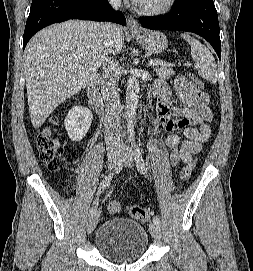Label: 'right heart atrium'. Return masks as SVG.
<instances>
[{"label":"right heart atrium","instance_id":"obj_1","mask_svg":"<svg viewBox=\"0 0 253 271\" xmlns=\"http://www.w3.org/2000/svg\"><path fill=\"white\" fill-rule=\"evenodd\" d=\"M112 3H115V4H117V3H119L120 2V0H110Z\"/></svg>","mask_w":253,"mask_h":271}]
</instances>
